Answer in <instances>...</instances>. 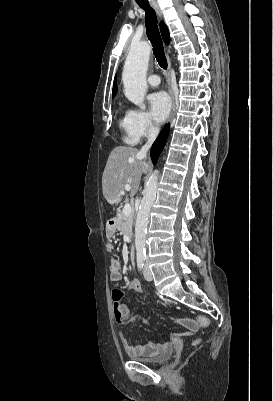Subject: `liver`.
Segmentation results:
<instances>
[{"label": "liver", "mask_w": 273, "mask_h": 401, "mask_svg": "<svg viewBox=\"0 0 273 401\" xmlns=\"http://www.w3.org/2000/svg\"><path fill=\"white\" fill-rule=\"evenodd\" d=\"M147 164L142 160L138 148L132 146H116L111 150L102 176L103 194L109 205H117L122 201L121 190L125 184H131V196L138 190L142 172Z\"/></svg>", "instance_id": "1"}]
</instances>
